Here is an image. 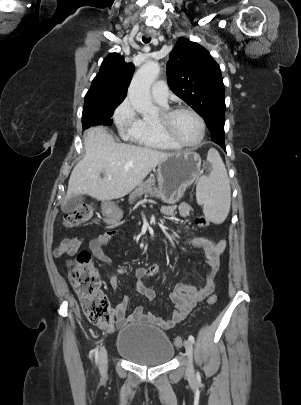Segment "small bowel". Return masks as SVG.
<instances>
[{"label": "small bowel", "instance_id": "c3829d8e", "mask_svg": "<svg viewBox=\"0 0 301 405\" xmlns=\"http://www.w3.org/2000/svg\"><path fill=\"white\" fill-rule=\"evenodd\" d=\"M193 208L188 202H181L178 205H171L164 208L163 213L166 216H173L175 212L181 217H186L192 213ZM117 230H110L93 238L89 242V248L94 257L101 263L110 262L109 256L105 253L104 247L109 244L112 236ZM81 240L79 238L64 239L55 249V255L60 257L66 253L73 255L79 248ZM188 245L199 248L204 253L205 262L209 267V273L203 284L193 286L185 283H177L170 295L171 302L174 305V311L170 319H164L150 312H145L142 306H137L133 312L127 315L128 297L125 296L115 307L116 326L124 327L130 323H149L159 326L164 330H171L181 321H183L191 310L202 300H204L215 288V277L220 268V256L226 248V241H212L206 237H193L186 242ZM158 272V266L138 267L135 270L136 290L147 299L155 298L153 288L147 286L144 282L146 278L153 277ZM108 280L113 290H117L118 282L115 275H108Z\"/></svg>", "mask_w": 301, "mask_h": 405}]
</instances>
